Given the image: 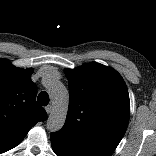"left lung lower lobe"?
Segmentation results:
<instances>
[{
    "mask_svg": "<svg viewBox=\"0 0 156 156\" xmlns=\"http://www.w3.org/2000/svg\"><path fill=\"white\" fill-rule=\"evenodd\" d=\"M51 145L57 156H107L97 150L77 144L58 133L51 134Z\"/></svg>",
    "mask_w": 156,
    "mask_h": 156,
    "instance_id": "0a47b994",
    "label": "left lung lower lobe"
}]
</instances>
